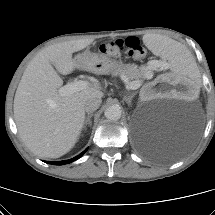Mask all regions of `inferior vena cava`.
<instances>
[{
	"label": "inferior vena cava",
	"instance_id": "inferior-vena-cava-1",
	"mask_svg": "<svg viewBox=\"0 0 215 215\" xmlns=\"http://www.w3.org/2000/svg\"><path fill=\"white\" fill-rule=\"evenodd\" d=\"M101 102L100 98H91L85 102L84 109L88 114L94 112L99 108Z\"/></svg>",
	"mask_w": 215,
	"mask_h": 215
}]
</instances>
